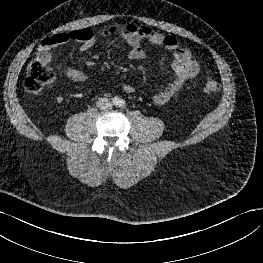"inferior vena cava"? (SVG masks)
<instances>
[{
    "mask_svg": "<svg viewBox=\"0 0 263 263\" xmlns=\"http://www.w3.org/2000/svg\"><path fill=\"white\" fill-rule=\"evenodd\" d=\"M96 106L99 108V109H102V110H105V109H108L112 106V103L111 101L108 99V98H99L98 101L96 102Z\"/></svg>",
    "mask_w": 263,
    "mask_h": 263,
    "instance_id": "1",
    "label": "inferior vena cava"
}]
</instances>
